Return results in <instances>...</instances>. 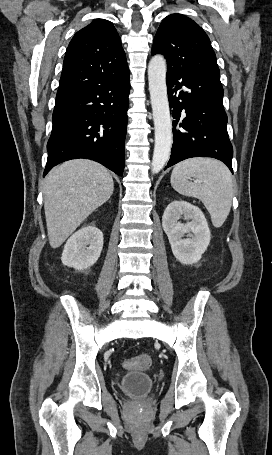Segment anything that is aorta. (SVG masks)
<instances>
[{"mask_svg": "<svg viewBox=\"0 0 272 455\" xmlns=\"http://www.w3.org/2000/svg\"><path fill=\"white\" fill-rule=\"evenodd\" d=\"M166 61L155 55L148 65V81L152 105L155 146L152 158V173L157 174L167 163L172 145V122L166 85Z\"/></svg>", "mask_w": 272, "mask_h": 455, "instance_id": "1", "label": "aorta"}]
</instances>
